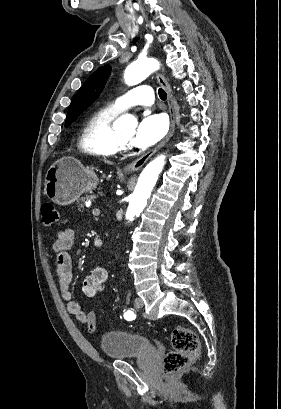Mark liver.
Here are the masks:
<instances>
[{
	"instance_id": "6515ba94",
	"label": "liver",
	"mask_w": 281,
	"mask_h": 409,
	"mask_svg": "<svg viewBox=\"0 0 281 409\" xmlns=\"http://www.w3.org/2000/svg\"><path fill=\"white\" fill-rule=\"evenodd\" d=\"M103 162H106V164H113L111 160H107V158H102Z\"/></svg>"
}]
</instances>
